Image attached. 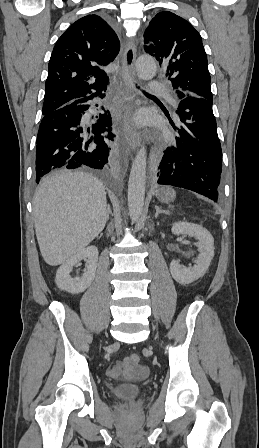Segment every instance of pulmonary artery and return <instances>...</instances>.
Returning a JSON list of instances; mask_svg holds the SVG:
<instances>
[{"mask_svg": "<svg viewBox=\"0 0 259 448\" xmlns=\"http://www.w3.org/2000/svg\"><path fill=\"white\" fill-rule=\"evenodd\" d=\"M165 99H166L169 103H172V104H175V105H176V101H175V99H174L171 95L166 96Z\"/></svg>", "mask_w": 259, "mask_h": 448, "instance_id": "e3ab8cb5", "label": "pulmonary artery"}]
</instances>
